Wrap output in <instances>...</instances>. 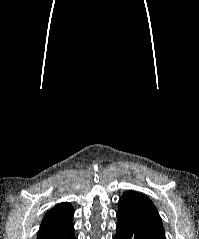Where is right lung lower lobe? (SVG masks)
Instances as JSON below:
<instances>
[{
  "instance_id": "right-lung-lower-lobe-1",
  "label": "right lung lower lobe",
  "mask_w": 199,
  "mask_h": 239,
  "mask_svg": "<svg viewBox=\"0 0 199 239\" xmlns=\"http://www.w3.org/2000/svg\"><path fill=\"white\" fill-rule=\"evenodd\" d=\"M37 239H76L72 218L57 223L41 225Z\"/></svg>"
}]
</instances>
